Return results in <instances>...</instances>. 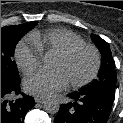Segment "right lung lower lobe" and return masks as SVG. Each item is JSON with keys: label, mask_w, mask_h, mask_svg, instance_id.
Masks as SVG:
<instances>
[{"label": "right lung lower lobe", "mask_w": 123, "mask_h": 123, "mask_svg": "<svg viewBox=\"0 0 123 123\" xmlns=\"http://www.w3.org/2000/svg\"><path fill=\"white\" fill-rule=\"evenodd\" d=\"M21 94L16 101H8L11 95ZM35 105L34 98L21 92L20 82L1 79V123H24L26 113Z\"/></svg>", "instance_id": "1"}]
</instances>
